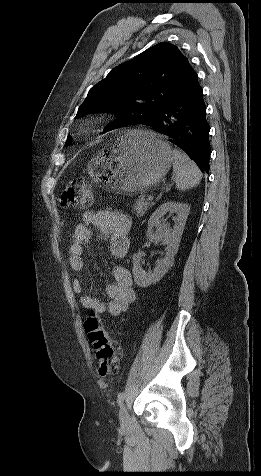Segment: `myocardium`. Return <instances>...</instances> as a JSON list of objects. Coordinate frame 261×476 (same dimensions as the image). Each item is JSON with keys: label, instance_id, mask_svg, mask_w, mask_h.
Returning a JSON list of instances; mask_svg holds the SVG:
<instances>
[{"label": "myocardium", "instance_id": "f54148a6", "mask_svg": "<svg viewBox=\"0 0 261 476\" xmlns=\"http://www.w3.org/2000/svg\"><path fill=\"white\" fill-rule=\"evenodd\" d=\"M85 128H86V129H88V128H89V125H88V124H87V125H85Z\"/></svg>", "mask_w": 261, "mask_h": 476}]
</instances>
